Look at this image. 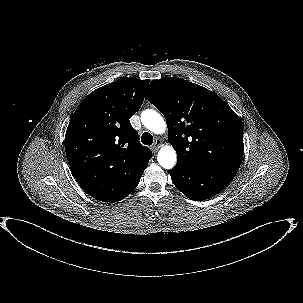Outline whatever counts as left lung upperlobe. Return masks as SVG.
<instances>
[{
	"label": "left lung upper lobe",
	"instance_id": "5c2ea615",
	"mask_svg": "<svg viewBox=\"0 0 303 303\" xmlns=\"http://www.w3.org/2000/svg\"><path fill=\"white\" fill-rule=\"evenodd\" d=\"M147 99L165 117L177 163L239 169L243 128L238 115L212 91L184 79L153 80Z\"/></svg>",
	"mask_w": 303,
	"mask_h": 303
}]
</instances>
